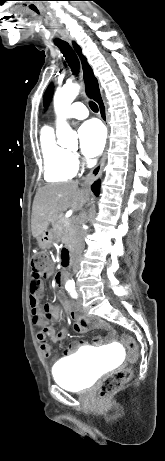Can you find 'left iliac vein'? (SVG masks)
<instances>
[{"label": "left iliac vein", "instance_id": "4c4485c4", "mask_svg": "<svg viewBox=\"0 0 165 461\" xmlns=\"http://www.w3.org/2000/svg\"><path fill=\"white\" fill-rule=\"evenodd\" d=\"M82 302H83L82 296H81V294H79V298H78V300H77V305H78V306H81V305H82Z\"/></svg>", "mask_w": 165, "mask_h": 461}]
</instances>
